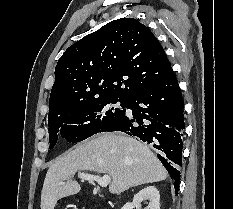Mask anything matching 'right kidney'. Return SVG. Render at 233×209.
<instances>
[{
  "mask_svg": "<svg viewBox=\"0 0 233 209\" xmlns=\"http://www.w3.org/2000/svg\"><path fill=\"white\" fill-rule=\"evenodd\" d=\"M148 201V209H160V194L155 186H147L140 190L131 203H126L122 209H139L142 201Z\"/></svg>",
  "mask_w": 233,
  "mask_h": 209,
  "instance_id": "ca27d5eb",
  "label": "right kidney"
}]
</instances>
